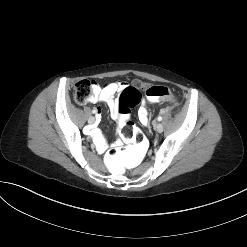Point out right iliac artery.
Here are the masks:
<instances>
[{"mask_svg": "<svg viewBox=\"0 0 247 247\" xmlns=\"http://www.w3.org/2000/svg\"><path fill=\"white\" fill-rule=\"evenodd\" d=\"M92 113L95 114V113H97V111L96 110H92Z\"/></svg>", "mask_w": 247, "mask_h": 247, "instance_id": "82829eb1", "label": "right iliac artery"}]
</instances>
